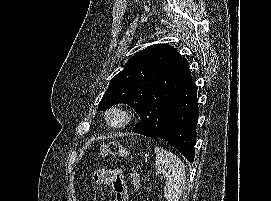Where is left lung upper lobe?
<instances>
[{
  "label": "left lung upper lobe",
  "mask_w": 271,
  "mask_h": 201,
  "mask_svg": "<svg viewBox=\"0 0 271 201\" xmlns=\"http://www.w3.org/2000/svg\"><path fill=\"white\" fill-rule=\"evenodd\" d=\"M187 64L173 46L166 44H154L139 51L111 79L99 110L129 104L141 118L142 134L159 137L184 81Z\"/></svg>",
  "instance_id": "left-lung-upper-lobe-1"
}]
</instances>
